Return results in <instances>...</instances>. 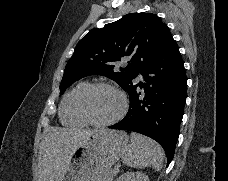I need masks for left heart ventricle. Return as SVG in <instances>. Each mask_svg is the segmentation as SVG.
<instances>
[{
  "label": "left heart ventricle",
  "instance_id": "b2bd125f",
  "mask_svg": "<svg viewBox=\"0 0 228 181\" xmlns=\"http://www.w3.org/2000/svg\"><path fill=\"white\" fill-rule=\"evenodd\" d=\"M120 106L121 100L118 94L114 90L105 87L95 88L85 102V109L96 121L112 117Z\"/></svg>",
  "mask_w": 228,
  "mask_h": 181
}]
</instances>
